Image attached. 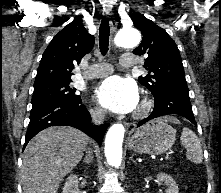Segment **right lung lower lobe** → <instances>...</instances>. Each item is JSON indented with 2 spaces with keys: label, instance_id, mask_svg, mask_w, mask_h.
Masks as SVG:
<instances>
[{
  "label": "right lung lower lobe",
  "instance_id": "1",
  "mask_svg": "<svg viewBox=\"0 0 221 193\" xmlns=\"http://www.w3.org/2000/svg\"><path fill=\"white\" fill-rule=\"evenodd\" d=\"M87 108L82 105L81 99L49 100L32 104L30 122L28 125L24 148L27 143L41 130L50 126L75 127L101 145L104 134L109 124L93 125Z\"/></svg>",
  "mask_w": 221,
  "mask_h": 193
}]
</instances>
